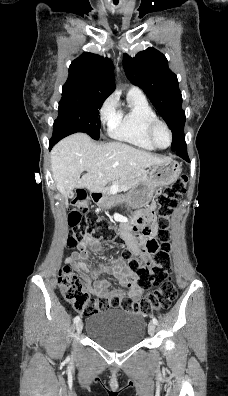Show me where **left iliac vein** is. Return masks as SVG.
Here are the masks:
<instances>
[{
	"instance_id": "left-iliac-vein-1",
	"label": "left iliac vein",
	"mask_w": 228,
	"mask_h": 396,
	"mask_svg": "<svg viewBox=\"0 0 228 396\" xmlns=\"http://www.w3.org/2000/svg\"><path fill=\"white\" fill-rule=\"evenodd\" d=\"M156 331V326L153 322H150L148 325V333L150 336H153L155 334Z\"/></svg>"
}]
</instances>
